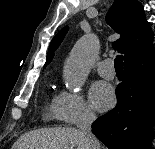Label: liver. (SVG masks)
<instances>
[{
	"label": "liver",
	"instance_id": "6515ba94",
	"mask_svg": "<svg viewBox=\"0 0 155 149\" xmlns=\"http://www.w3.org/2000/svg\"><path fill=\"white\" fill-rule=\"evenodd\" d=\"M87 149L79 129L73 127L37 129L23 134L12 149Z\"/></svg>",
	"mask_w": 155,
	"mask_h": 149
}]
</instances>
